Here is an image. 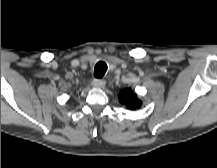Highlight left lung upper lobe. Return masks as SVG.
<instances>
[{"instance_id": "left-lung-upper-lobe-1", "label": "left lung upper lobe", "mask_w": 217, "mask_h": 168, "mask_svg": "<svg viewBox=\"0 0 217 168\" xmlns=\"http://www.w3.org/2000/svg\"><path fill=\"white\" fill-rule=\"evenodd\" d=\"M118 98L120 103L129 109L135 110L141 106V101L138 100L136 94L130 88L121 90Z\"/></svg>"}]
</instances>
